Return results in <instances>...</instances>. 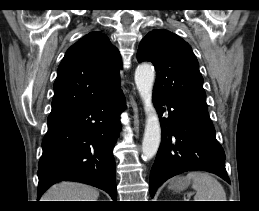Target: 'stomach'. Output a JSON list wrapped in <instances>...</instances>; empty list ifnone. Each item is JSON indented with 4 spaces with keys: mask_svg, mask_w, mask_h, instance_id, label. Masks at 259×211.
Segmentation results:
<instances>
[{
    "mask_svg": "<svg viewBox=\"0 0 259 211\" xmlns=\"http://www.w3.org/2000/svg\"><path fill=\"white\" fill-rule=\"evenodd\" d=\"M188 184L189 181L185 178H177L170 183L169 188L180 191L185 189L188 186Z\"/></svg>",
    "mask_w": 259,
    "mask_h": 211,
    "instance_id": "0dacf381",
    "label": "stomach"
}]
</instances>
